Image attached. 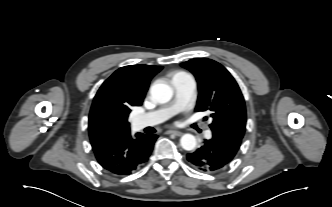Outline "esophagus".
<instances>
[{"mask_svg": "<svg viewBox=\"0 0 332 207\" xmlns=\"http://www.w3.org/2000/svg\"><path fill=\"white\" fill-rule=\"evenodd\" d=\"M166 134H173L175 136H181L183 133L178 130H168V131H166Z\"/></svg>", "mask_w": 332, "mask_h": 207, "instance_id": "1", "label": "esophagus"}]
</instances>
